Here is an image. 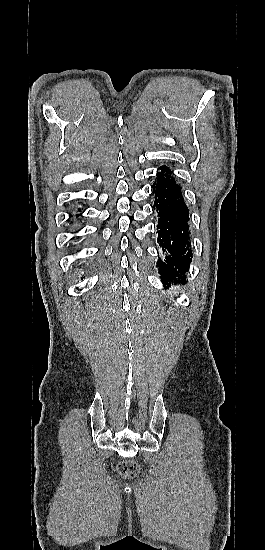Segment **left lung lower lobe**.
<instances>
[{
    "instance_id": "left-lung-lower-lobe-1",
    "label": "left lung lower lobe",
    "mask_w": 265,
    "mask_h": 550,
    "mask_svg": "<svg viewBox=\"0 0 265 550\" xmlns=\"http://www.w3.org/2000/svg\"><path fill=\"white\" fill-rule=\"evenodd\" d=\"M157 171V181L152 188L156 198L153 208L157 209L158 243L166 252L164 261L159 259L157 266L162 283L179 278L189 270L192 261L191 242L188 232V210L184 203L180 186L172 177V171L166 166Z\"/></svg>"
}]
</instances>
